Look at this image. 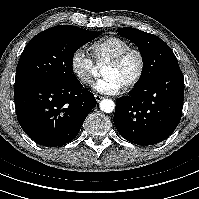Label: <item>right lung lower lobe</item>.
<instances>
[{
	"mask_svg": "<svg viewBox=\"0 0 199 199\" xmlns=\"http://www.w3.org/2000/svg\"><path fill=\"white\" fill-rule=\"evenodd\" d=\"M14 100L24 132L47 147L61 146L74 139L96 105L94 95L83 89L78 79H32L15 83Z\"/></svg>",
	"mask_w": 199,
	"mask_h": 199,
	"instance_id": "1",
	"label": "right lung lower lobe"
}]
</instances>
